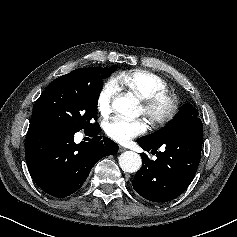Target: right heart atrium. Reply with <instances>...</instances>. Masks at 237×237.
Wrapping results in <instances>:
<instances>
[{"instance_id": "1", "label": "right heart atrium", "mask_w": 237, "mask_h": 237, "mask_svg": "<svg viewBox=\"0 0 237 237\" xmlns=\"http://www.w3.org/2000/svg\"><path fill=\"white\" fill-rule=\"evenodd\" d=\"M117 93L118 86L113 80H108L102 85L96 99V106L100 115L107 116L110 113L112 101Z\"/></svg>"}]
</instances>
